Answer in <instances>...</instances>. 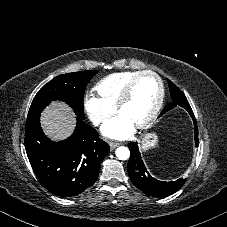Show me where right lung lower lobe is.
<instances>
[{"label": "right lung lower lobe", "mask_w": 227, "mask_h": 227, "mask_svg": "<svg viewBox=\"0 0 227 227\" xmlns=\"http://www.w3.org/2000/svg\"><path fill=\"white\" fill-rule=\"evenodd\" d=\"M25 149L40 182L54 195L80 194L97 180L101 163L110 152L97 131L77 118V126L66 140L51 141L42 131L40 116L27 120Z\"/></svg>", "instance_id": "obj_1"}]
</instances>
